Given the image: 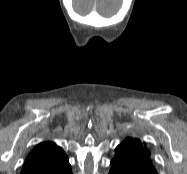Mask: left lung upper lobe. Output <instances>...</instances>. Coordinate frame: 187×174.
<instances>
[{"instance_id":"1","label":"left lung upper lobe","mask_w":187,"mask_h":174,"mask_svg":"<svg viewBox=\"0 0 187 174\" xmlns=\"http://www.w3.org/2000/svg\"><path fill=\"white\" fill-rule=\"evenodd\" d=\"M123 163L124 167L131 172L143 174V169L156 172L150 159V152L145 149L139 139L126 138L115 149V157L111 164Z\"/></svg>"}]
</instances>
